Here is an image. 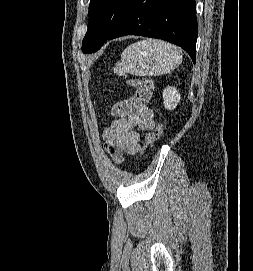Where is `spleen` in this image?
<instances>
[{"label":"spleen","mask_w":253,"mask_h":271,"mask_svg":"<svg viewBox=\"0 0 253 271\" xmlns=\"http://www.w3.org/2000/svg\"><path fill=\"white\" fill-rule=\"evenodd\" d=\"M182 62L176 46L157 39H145L129 45L121 55L114 73L139 76H161L170 73Z\"/></svg>","instance_id":"1"}]
</instances>
